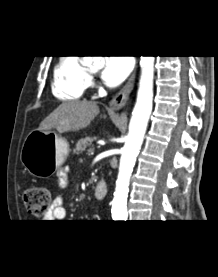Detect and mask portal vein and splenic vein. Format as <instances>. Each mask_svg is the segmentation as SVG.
Here are the masks:
<instances>
[{"instance_id": "obj_1", "label": "portal vein and splenic vein", "mask_w": 218, "mask_h": 277, "mask_svg": "<svg viewBox=\"0 0 218 277\" xmlns=\"http://www.w3.org/2000/svg\"><path fill=\"white\" fill-rule=\"evenodd\" d=\"M93 150H94L93 148H90V149H89V152H92Z\"/></svg>"}]
</instances>
